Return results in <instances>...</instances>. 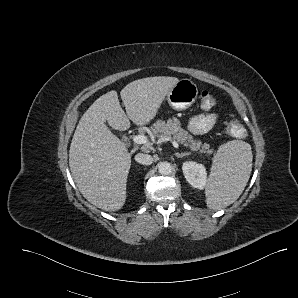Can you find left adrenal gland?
I'll use <instances>...</instances> for the list:
<instances>
[{"instance_id": "obj_1", "label": "left adrenal gland", "mask_w": 298, "mask_h": 298, "mask_svg": "<svg viewBox=\"0 0 298 298\" xmlns=\"http://www.w3.org/2000/svg\"><path fill=\"white\" fill-rule=\"evenodd\" d=\"M190 152H181V153H175V156L177 158H181V157H184L185 155H189Z\"/></svg>"}]
</instances>
